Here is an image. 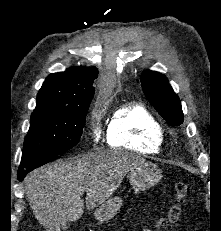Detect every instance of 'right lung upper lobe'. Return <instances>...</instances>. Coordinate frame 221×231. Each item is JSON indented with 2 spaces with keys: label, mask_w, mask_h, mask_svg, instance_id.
Masks as SVG:
<instances>
[{
  "label": "right lung upper lobe",
  "mask_w": 221,
  "mask_h": 231,
  "mask_svg": "<svg viewBox=\"0 0 221 231\" xmlns=\"http://www.w3.org/2000/svg\"><path fill=\"white\" fill-rule=\"evenodd\" d=\"M98 70L93 67H72L50 74L37 94L36 108L80 105L91 101L93 82Z\"/></svg>",
  "instance_id": "right-lung-upper-lobe-1"
}]
</instances>
